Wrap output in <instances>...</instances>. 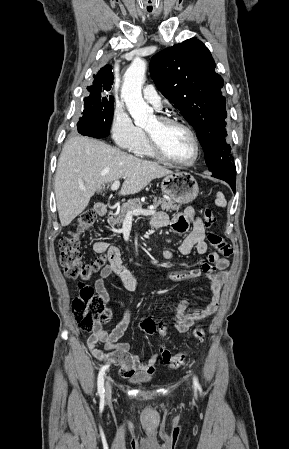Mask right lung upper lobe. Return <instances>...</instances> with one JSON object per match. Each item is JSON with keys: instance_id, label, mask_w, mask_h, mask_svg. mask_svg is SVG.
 Listing matches in <instances>:
<instances>
[{"instance_id": "cb5924a9", "label": "right lung upper lobe", "mask_w": 289, "mask_h": 449, "mask_svg": "<svg viewBox=\"0 0 289 449\" xmlns=\"http://www.w3.org/2000/svg\"><path fill=\"white\" fill-rule=\"evenodd\" d=\"M94 79L93 85L87 87V90L90 92L89 96L101 95L104 91H109L113 83L112 68L109 65H105L97 75H94ZM105 97L113 98L108 95Z\"/></svg>"}]
</instances>
